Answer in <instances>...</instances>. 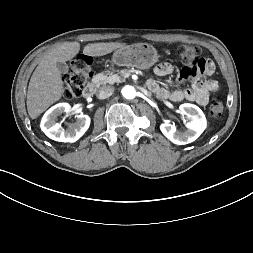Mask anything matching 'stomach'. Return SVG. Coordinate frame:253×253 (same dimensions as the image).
Listing matches in <instances>:
<instances>
[{
    "mask_svg": "<svg viewBox=\"0 0 253 253\" xmlns=\"http://www.w3.org/2000/svg\"><path fill=\"white\" fill-rule=\"evenodd\" d=\"M156 49L148 43H135L117 49L111 62L118 66L148 69L158 61Z\"/></svg>",
    "mask_w": 253,
    "mask_h": 253,
    "instance_id": "1",
    "label": "stomach"
}]
</instances>
